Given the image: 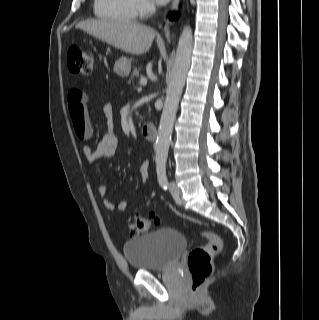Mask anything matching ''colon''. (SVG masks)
Listing matches in <instances>:
<instances>
[{
  "label": "colon",
  "mask_w": 319,
  "mask_h": 320,
  "mask_svg": "<svg viewBox=\"0 0 319 320\" xmlns=\"http://www.w3.org/2000/svg\"><path fill=\"white\" fill-rule=\"evenodd\" d=\"M93 55L78 47H72L67 54L69 70L76 75H89L93 67ZM74 125V124H73ZM76 136L84 141L91 137V131L83 125H74ZM160 225V218L156 214L146 217L133 215L129 220V231L132 235L154 230ZM201 237L207 243L193 248L188 255V268L191 274V292L193 295L199 293L203 283L211 276L214 270L213 258L222 249V240L214 232L202 231Z\"/></svg>",
  "instance_id": "obj_1"
}]
</instances>
